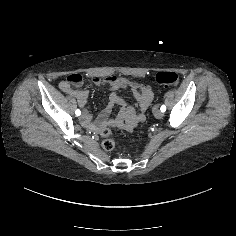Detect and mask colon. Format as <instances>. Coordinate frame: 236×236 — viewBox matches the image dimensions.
<instances>
[{
    "label": "colon",
    "instance_id": "obj_1",
    "mask_svg": "<svg viewBox=\"0 0 236 236\" xmlns=\"http://www.w3.org/2000/svg\"><path fill=\"white\" fill-rule=\"evenodd\" d=\"M156 83L163 86H175L178 84V75L172 71L159 72L155 77ZM67 82L73 86H79L83 83V77L80 74H71L67 77ZM102 146L106 151L114 148V140L111 132L107 129L102 130Z\"/></svg>",
    "mask_w": 236,
    "mask_h": 236
}]
</instances>
